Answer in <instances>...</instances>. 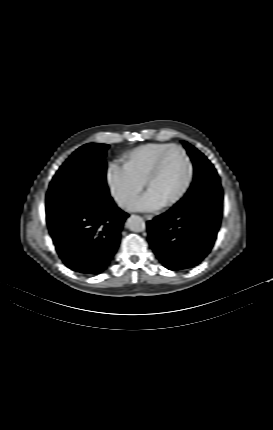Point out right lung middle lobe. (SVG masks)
Wrapping results in <instances>:
<instances>
[{
    "mask_svg": "<svg viewBox=\"0 0 273 430\" xmlns=\"http://www.w3.org/2000/svg\"><path fill=\"white\" fill-rule=\"evenodd\" d=\"M108 147L96 143L83 145L60 167L47 193V215L87 201L107 202L111 199L104 160Z\"/></svg>",
    "mask_w": 273,
    "mask_h": 430,
    "instance_id": "1",
    "label": "right lung middle lobe"
}]
</instances>
